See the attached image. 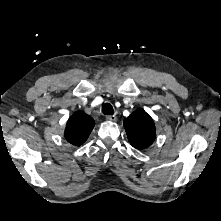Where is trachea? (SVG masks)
<instances>
[{
	"mask_svg": "<svg viewBox=\"0 0 221 221\" xmlns=\"http://www.w3.org/2000/svg\"><path fill=\"white\" fill-rule=\"evenodd\" d=\"M102 113L105 114V115H113L114 110H113L112 105L110 103L103 104Z\"/></svg>",
	"mask_w": 221,
	"mask_h": 221,
	"instance_id": "1",
	"label": "trachea"
}]
</instances>
